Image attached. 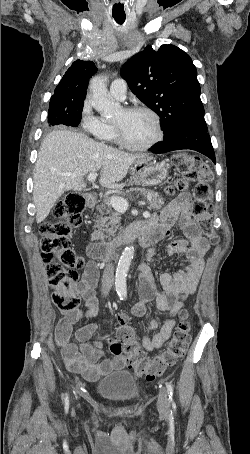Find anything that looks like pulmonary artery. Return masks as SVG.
<instances>
[{
  "instance_id": "obj_1",
  "label": "pulmonary artery",
  "mask_w": 250,
  "mask_h": 454,
  "mask_svg": "<svg viewBox=\"0 0 250 454\" xmlns=\"http://www.w3.org/2000/svg\"><path fill=\"white\" fill-rule=\"evenodd\" d=\"M109 91L113 98L117 100H124L127 92L126 82L121 78L115 79L111 83Z\"/></svg>"
}]
</instances>
